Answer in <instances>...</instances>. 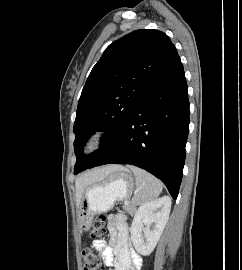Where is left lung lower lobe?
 Listing matches in <instances>:
<instances>
[{
  "instance_id": "obj_1",
  "label": "left lung lower lobe",
  "mask_w": 242,
  "mask_h": 270,
  "mask_svg": "<svg viewBox=\"0 0 242 270\" xmlns=\"http://www.w3.org/2000/svg\"><path fill=\"white\" fill-rule=\"evenodd\" d=\"M188 130V87L178 57L158 77L144 102L88 168L109 163L138 166L162 180L176 199Z\"/></svg>"
}]
</instances>
